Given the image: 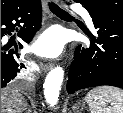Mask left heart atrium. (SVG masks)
<instances>
[{
    "label": "left heart atrium",
    "instance_id": "obj_1",
    "mask_svg": "<svg viewBox=\"0 0 123 113\" xmlns=\"http://www.w3.org/2000/svg\"><path fill=\"white\" fill-rule=\"evenodd\" d=\"M64 41L56 30L43 33L33 44L32 50L42 57H56L63 50Z\"/></svg>",
    "mask_w": 123,
    "mask_h": 113
}]
</instances>
